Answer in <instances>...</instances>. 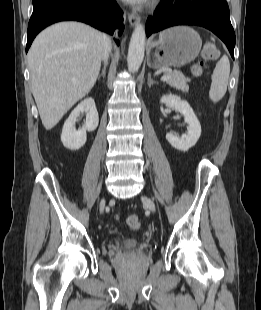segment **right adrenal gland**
Returning a JSON list of instances; mask_svg holds the SVG:
<instances>
[{
    "label": "right adrenal gland",
    "instance_id": "2a0ac1e0",
    "mask_svg": "<svg viewBox=\"0 0 261 310\" xmlns=\"http://www.w3.org/2000/svg\"><path fill=\"white\" fill-rule=\"evenodd\" d=\"M106 68H107V63L104 64L103 68H102V72L101 74L99 75L98 78H100V76H102L103 78H105V75H106Z\"/></svg>",
    "mask_w": 261,
    "mask_h": 310
}]
</instances>
